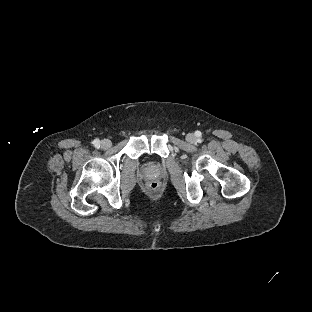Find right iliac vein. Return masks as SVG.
Here are the masks:
<instances>
[{
  "instance_id": "obj_1",
  "label": "right iliac vein",
  "mask_w": 312,
  "mask_h": 312,
  "mask_svg": "<svg viewBox=\"0 0 312 312\" xmlns=\"http://www.w3.org/2000/svg\"><path fill=\"white\" fill-rule=\"evenodd\" d=\"M111 141L110 140H108V139H104V140H102L101 141V143H100V146H101V148H103V149H108L109 147H111Z\"/></svg>"
}]
</instances>
